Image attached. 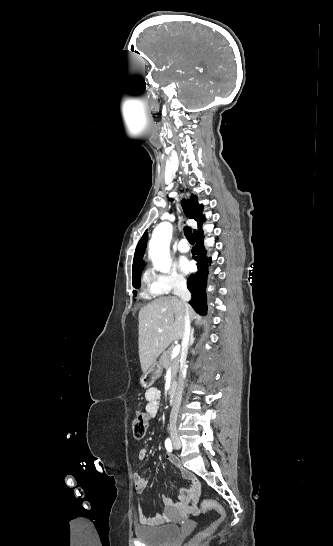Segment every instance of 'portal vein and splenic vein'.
Instances as JSON below:
<instances>
[{
	"mask_svg": "<svg viewBox=\"0 0 333 546\" xmlns=\"http://www.w3.org/2000/svg\"><path fill=\"white\" fill-rule=\"evenodd\" d=\"M180 350H181L180 345H176L172 350L171 358L172 359L176 358L179 355Z\"/></svg>",
	"mask_w": 333,
	"mask_h": 546,
	"instance_id": "obj_1",
	"label": "portal vein and splenic vein"
}]
</instances>
